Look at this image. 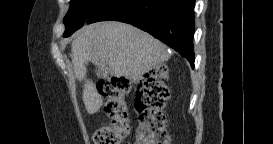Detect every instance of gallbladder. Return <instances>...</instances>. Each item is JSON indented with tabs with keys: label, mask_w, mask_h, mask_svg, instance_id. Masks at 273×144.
<instances>
[{
	"label": "gallbladder",
	"mask_w": 273,
	"mask_h": 144,
	"mask_svg": "<svg viewBox=\"0 0 273 144\" xmlns=\"http://www.w3.org/2000/svg\"><path fill=\"white\" fill-rule=\"evenodd\" d=\"M108 75H109V72L104 71L102 68L96 71V76L98 80H108L109 79Z\"/></svg>",
	"instance_id": "bac80fb5"
}]
</instances>
